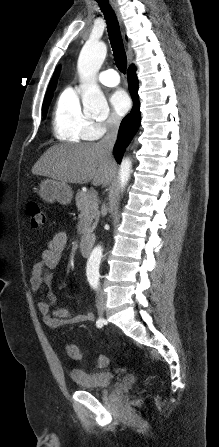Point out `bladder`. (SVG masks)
I'll use <instances>...</instances> for the list:
<instances>
[{
    "label": "bladder",
    "mask_w": 219,
    "mask_h": 447,
    "mask_svg": "<svg viewBox=\"0 0 219 447\" xmlns=\"http://www.w3.org/2000/svg\"><path fill=\"white\" fill-rule=\"evenodd\" d=\"M70 378L81 390L98 391L109 387L113 381L111 372H87L80 369H71Z\"/></svg>",
    "instance_id": "obj_1"
}]
</instances>
